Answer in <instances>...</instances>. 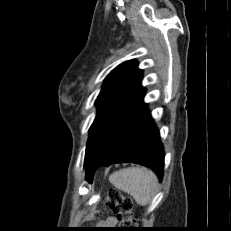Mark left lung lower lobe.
<instances>
[{
    "mask_svg": "<svg viewBox=\"0 0 231 231\" xmlns=\"http://www.w3.org/2000/svg\"><path fill=\"white\" fill-rule=\"evenodd\" d=\"M144 95L145 90L141 89L114 117L94 145L84 163L86 179L90 182L98 167L121 162L147 166L162 180L163 145L147 104L143 103Z\"/></svg>",
    "mask_w": 231,
    "mask_h": 231,
    "instance_id": "left-lung-lower-lobe-1",
    "label": "left lung lower lobe"
}]
</instances>
